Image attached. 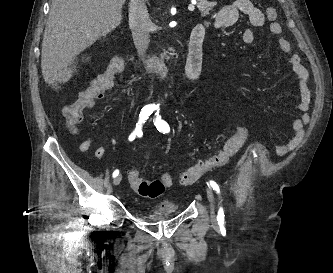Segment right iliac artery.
Here are the masks:
<instances>
[{
    "label": "right iliac artery",
    "instance_id": "1",
    "mask_svg": "<svg viewBox=\"0 0 333 273\" xmlns=\"http://www.w3.org/2000/svg\"><path fill=\"white\" fill-rule=\"evenodd\" d=\"M156 108L152 105H147L145 107L142 108L140 114H139V121L136 124V128L135 130L130 134L129 136V141H133L136 136H142L143 132H142V125L145 123V121L149 118V116L153 113V111ZM119 174V170H115L113 172V177H116Z\"/></svg>",
    "mask_w": 333,
    "mask_h": 273
}]
</instances>
